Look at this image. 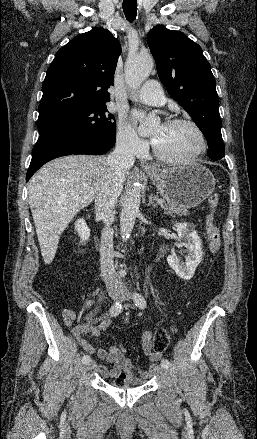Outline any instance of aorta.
<instances>
[{"label": "aorta", "mask_w": 257, "mask_h": 439, "mask_svg": "<svg viewBox=\"0 0 257 439\" xmlns=\"http://www.w3.org/2000/svg\"><path fill=\"white\" fill-rule=\"evenodd\" d=\"M153 68V60L150 56L131 55L128 57L125 64V81L132 89H137L149 77ZM154 117H149L143 121L139 126V133L145 134L150 130ZM141 200L140 188L134 184L126 193L122 211L120 215V234L123 241L129 238L136 217L139 213V206Z\"/></svg>", "instance_id": "1"}]
</instances>
